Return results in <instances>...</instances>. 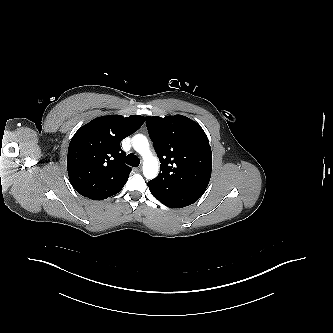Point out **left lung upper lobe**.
Listing matches in <instances>:
<instances>
[{
    "mask_svg": "<svg viewBox=\"0 0 333 333\" xmlns=\"http://www.w3.org/2000/svg\"><path fill=\"white\" fill-rule=\"evenodd\" d=\"M146 126L161 163L160 173L148 185L160 196H202L211 177L212 152L201 126L183 115L148 116Z\"/></svg>",
    "mask_w": 333,
    "mask_h": 333,
    "instance_id": "obj_1",
    "label": "left lung upper lobe"
}]
</instances>
